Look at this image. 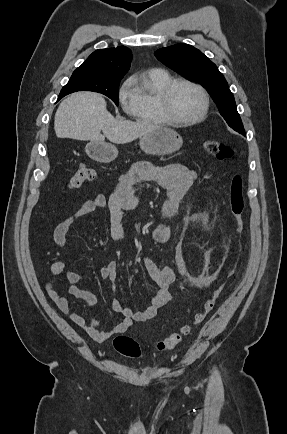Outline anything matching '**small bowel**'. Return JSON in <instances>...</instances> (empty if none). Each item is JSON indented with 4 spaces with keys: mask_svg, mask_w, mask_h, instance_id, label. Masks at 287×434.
<instances>
[{
    "mask_svg": "<svg viewBox=\"0 0 287 434\" xmlns=\"http://www.w3.org/2000/svg\"><path fill=\"white\" fill-rule=\"evenodd\" d=\"M196 179L197 173L180 163L155 167L147 162H135L130 170L120 177L119 184L109 199L101 194L96 195L84 202L76 213L61 221L54 230V242L57 247L63 248L69 231L77 226L83 217L103 208L108 213L110 238L126 242L128 233L123 226V217L126 210L138 205L136 185L140 182H154L167 190V198L161 208L163 221L157 224L152 232L156 242L165 243L172 238V227L165 221L177 214L180 200ZM143 265L152 283L158 287L157 292L150 299L148 306L139 312H133L120 300L112 298V310L122 315L123 318L120 323L109 330H100L96 319L85 318L73 311L68 299L55 290L50 289L49 296L61 312L66 314L74 324L84 329L95 341L106 342L112 336L126 332L134 322H145L154 318L159 309L172 300L170 287L175 281L174 269L170 266L159 267L148 258L143 259ZM50 274L53 277L64 275L69 283L67 291L70 295L82 299L88 305L96 303L97 298L93 293L77 286L86 279V276L79 272L67 271L63 260H56L51 264ZM99 274L102 279L114 283L117 279V262L114 260L108 262L100 269Z\"/></svg>",
    "mask_w": 287,
    "mask_h": 434,
    "instance_id": "obj_1",
    "label": "small bowel"
}]
</instances>
